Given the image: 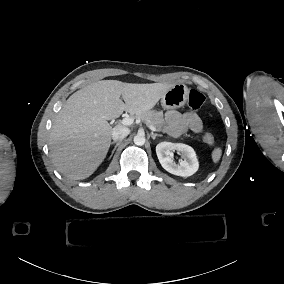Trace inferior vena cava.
I'll list each match as a JSON object with an SVG mask.
<instances>
[{
  "label": "inferior vena cava",
  "instance_id": "obj_1",
  "mask_svg": "<svg viewBox=\"0 0 284 284\" xmlns=\"http://www.w3.org/2000/svg\"><path fill=\"white\" fill-rule=\"evenodd\" d=\"M130 134V130L123 126H116L113 129L112 138L114 141H122Z\"/></svg>",
  "mask_w": 284,
  "mask_h": 284
}]
</instances>
